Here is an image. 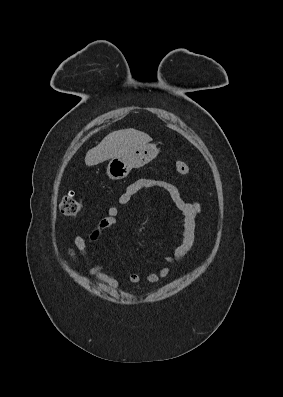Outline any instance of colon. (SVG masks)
<instances>
[{
  "label": "colon",
  "instance_id": "obj_1",
  "mask_svg": "<svg viewBox=\"0 0 283 397\" xmlns=\"http://www.w3.org/2000/svg\"><path fill=\"white\" fill-rule=\"evenodd\" d=\"M175 170L180 175L190 172V167L186 162L178 161L175 163ZM82 204L73 193L66 195L60 203V212L65 216H75L81 210Z\"/></svg>",
  "mask_w": 283,
  "mask_h": 397
}]
</instances>
